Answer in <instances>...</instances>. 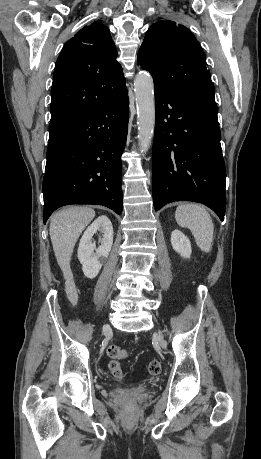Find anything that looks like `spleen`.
I'll use <instances>...</instances> for the list:
<instances>
[{
  "mask_svg": "<svg viewBox=\"0 0 261 459\" xmlns=\"http://www.w3.org/2000/svg\"><path fill=\"white\" fill-rule=\"evenodd\" d=\"M175 219L179 226L189 228L195 238L197 246L204 252L211 250L214 225L208 211L199 204H181L175 212Z\"/></svg>",
  "mask_w": 261,
  "mask_h": 459,
  "instance_id": "1",
  "label": "spleen"
}]
</instances>
